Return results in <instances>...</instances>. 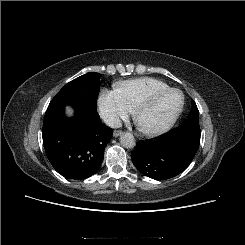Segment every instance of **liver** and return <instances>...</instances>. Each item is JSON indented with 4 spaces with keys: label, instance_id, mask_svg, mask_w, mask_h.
Masks as SVG:
<instances>
[{
    "label": "liver",
    "instance_id": "1",
    "mask_svg": "<svg viewBox=\"0 0 245 245\" xmlns=\"http://www.w3.org/2000/svg\"><path fill=\"white\" fill-rule=\"evenodd\" d=\"M67 110H68V114L71 115L72 111L69 108H67Z\"/></svg>",
    "mask_w": 245,
    "mask_h": 245
}]
</instances>
